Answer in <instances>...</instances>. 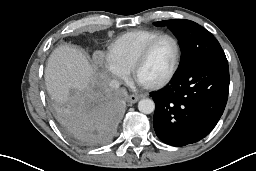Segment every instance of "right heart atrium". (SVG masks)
<instances>
[{
    "mask_svg": "<svg viewBox=\"0 0 256 171\" xmlns=\"http://www.w3.org/2000/svg\"><path fill=\"white\" fill-rule=\"evenodd\" d=\"M99 62L101 66L116 80H123L127 76V70L118 65L115 61H113L108 56L103 54L98 55Z\"/></svg>",
    "mask_w": 256,
    "mask_h": 171,
    "instance_id": "d8ad5b80",
    "label": "right heart atrium"
}]
</instances>
